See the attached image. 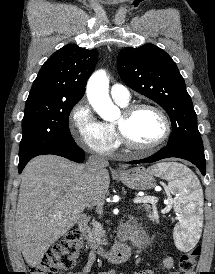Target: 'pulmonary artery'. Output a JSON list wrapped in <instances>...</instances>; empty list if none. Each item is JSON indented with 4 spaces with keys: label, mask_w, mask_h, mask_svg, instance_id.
Here are the masks:
<instances>
[{
    "label": "pulmonary artery",
    "mask_w": 215,
    "mask_h": 274,
    "mask_svg": "<svg viewBox=\"0 0 215 274\" xmlns=\"http://www.w3.org/2000/svg\"><path fill=\"white\" fill-rule=\"evenodd\" d=\"M112 98L119 103L126 104L130 100V93L129 90L121 85V84H114L110 90Z\"/></svg>",
    "instance_id": "e3ab8cb5"
}]
</instances>
